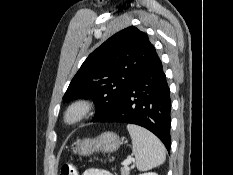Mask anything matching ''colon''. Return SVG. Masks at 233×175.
<instances>
[{
  "label": "colon",
  "instance_id": "1",
  "mask_svg": "<svg viewBox=\"0 0 233 175\" xmlns=\"http://www.w3.org/2000/svg\"><path fill=\"white\" fill-rule=\"evenodd\" d=\"M59 175H78V168L75 162L70 161L61 167Z\"/></svg>",
  "mask_w": 233,
  "mask_h": 175
}]
</instances>
